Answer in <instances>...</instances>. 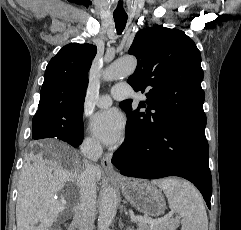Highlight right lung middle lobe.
I'll use <instances>...</instances> for the list:
<instances>
[{
    "mask_svg": "<svg viewBox=\"0 0 241 230\" xmlns=\"http://www.w3.org/2000/svg\"><path fill=\"white\" fill-rule=\"evenodd\" d=\"M32 138L56 137L65 142L83 141V107L60 108L34 116ZM55 133V136L52 135ZM70 143V142H69Z\"/></svg>",
    "mask_w": 241,
    "mask_h": 230,
    "instance_id": "1",
    "label": "right lung middle lobe"
}]
</instances>
